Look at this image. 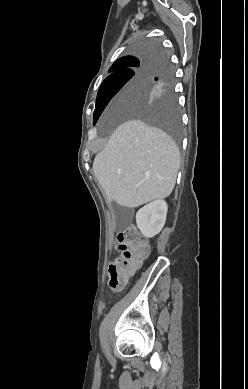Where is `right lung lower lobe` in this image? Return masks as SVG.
<instances>
[{"label":"right lung lower lobe","instance_id":"1","mask_svg":"<svg viewBox=\"0 0 248 389\" xmlns=\"http://www.w3.org/2000/svg\"><path fill=\"white\" fill-rule=\"evenodd\" d=\"M157 53H164V52L160 49V51H158Z\"/></svg>","mask_w":248,"mask_h":389}]
</instances>
